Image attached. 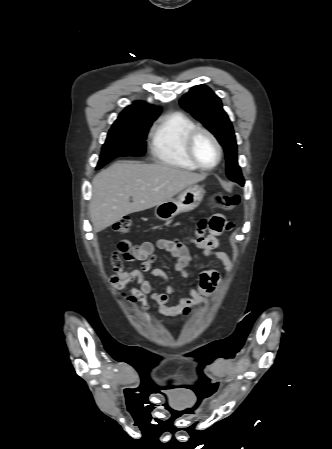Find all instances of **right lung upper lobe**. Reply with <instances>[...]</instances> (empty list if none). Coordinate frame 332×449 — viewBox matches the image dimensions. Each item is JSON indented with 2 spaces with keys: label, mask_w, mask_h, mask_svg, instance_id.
I'll return each instance as SVG.
<instances>
[{
  "label": "right lung upper lobe",
  "mask_w": 332,
  "mask_h": 449,
  "mask_svg": "<svg viewBox=\"0 0 332 449\" xmlns=\"http://www.w3.org/2000/svg\"><path fill=\"white\" fill-rule=\"evenodd\" d=\"M159 114V108L145 102H136L122 111L117 120L130 118L154 119L157 118Z\"/></svg>",
  "instance_id": "cb5924a9"
}]
</instances>
